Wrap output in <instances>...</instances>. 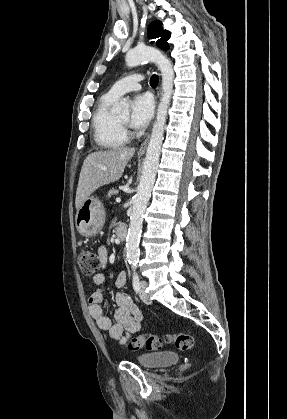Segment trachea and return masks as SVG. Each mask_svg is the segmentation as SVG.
Returning <instances> with one entry per match:
<instances>
[{
    "label": "trachea",
    "instance_id": "obj_1",
    "mask_svg": "<svg viewBox=\"0 0 287 419\" xmlns=\"http://www.w3.org/2000/svg\"><path fill=\"white\" fill-rule=\"evenodd\" d=\"M158 81H159L158 76L157 75H152V77L150 79V85L152 87H156L158 85Z\"/></svg>",
    "mask_w": 287,
    "mask_h": 419
}]
</instances>
